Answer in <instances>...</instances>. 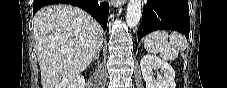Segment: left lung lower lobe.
Segmentation results:
<instances>
[{
	"instance_id": "1",
	"label": "left lung lower lobe",
	"mask_w": 227,
	"mask_h": 88,
	"mask_svg": "<svg viewBox=\"0 0 227 88\" xmlns=\"http://www.w3.org/2000/svg\"><path fill=\"white\" fill-rule=\"evenodd\" d=\"M162 29L178 31L189 38L188 0H147L138 28V41L148 33Z\"/></svg>"
}]
</instances>
